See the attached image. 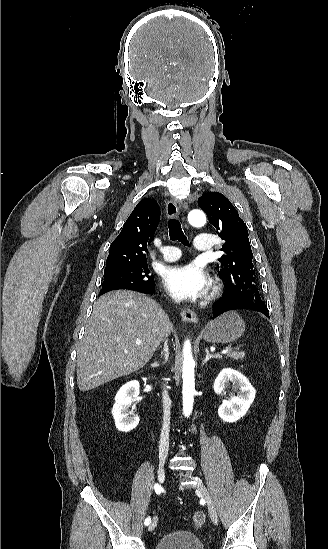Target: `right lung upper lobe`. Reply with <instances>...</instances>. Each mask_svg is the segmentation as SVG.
<instances>
[{
    "mask_svg": "<svg viewBox=\"0 0 328 549\" xmlns=\"http://www.w3.org/2000/svg\"><path fill=\"white\" fill-rule=\"evenodd\" d=\"M159 220L157 201L150 198L140 201L112 242L104 271L147 263V246Z\"/></svg>",
    "mask_w": 328,
    "mask_h": 549,
    "instance_id": "cb5924a9",
    "label": "right lung upper lobe"
}]
</instances>
